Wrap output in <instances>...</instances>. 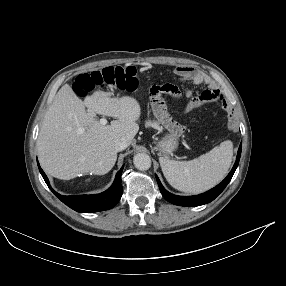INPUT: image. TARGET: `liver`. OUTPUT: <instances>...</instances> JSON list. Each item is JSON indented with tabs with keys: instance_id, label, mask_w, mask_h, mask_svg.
Returning <instances> with one entry per match:
<instances>
[{
	"instance_id": "obj_1",
	"label": "liver",
	"mask_w": 286,
	"mask_h": 286,
	"mask_svg": "<svg viewBox=\"0 0 286 286\" xmlns=\"http://www.w3.org/2000/svg\"><path fill=\"white\" fill-rule=\"evenodd\" d=\"M96 114L118 120L101 125L94 118ZM140 115V104L133 97L112 98L96 91L82 101L68 84L63 85L39 132L37 152L42 168L63 180L82 173H108L117 159L116 141L123 138L128 144L132 142Z\"/></svg>"
}]
</instances>
